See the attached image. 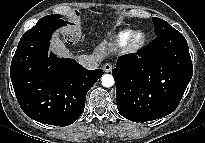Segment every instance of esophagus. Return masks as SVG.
Instances as JSON below:
<instances>
[{"label":"esophagus","instance_id":"esophagus-1","mask_svg":"<svg viewBox=\"0 0 205 143\" xmlns=\"http://www.w3.org/2000/svg\"><path fill=\"white\" fill-rule=\"evenodd\" d=\"M104 72H111L112 71V65L110 63H105L102 67Z\"/></svg>","mask_w":205,"mask_h":143}]
</instances>
